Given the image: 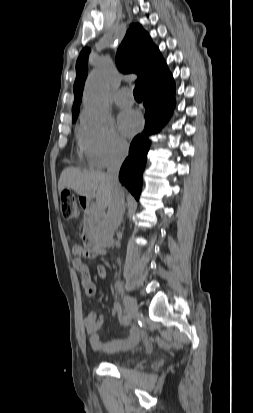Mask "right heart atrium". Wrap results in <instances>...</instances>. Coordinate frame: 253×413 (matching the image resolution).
Returning <instances> with one entry per match:
<instances>
[{
    "mask_svg": "<svg viewBox=\"0 0 253 413\" xmlns=\"http://www.w3.org/2000/svg\"><path fill=\"white\" fill-rule=\"evenodd\" d=\"M79 141L89 165L99 169L123 158L128 148L111 120L88 115L83 118Z\"/></svg>",
    "mask_w": 253,
    "mask_h": 413,
    "instance_id": "obj_1",
    "label": "right heart atrium"
}]
</instances>
